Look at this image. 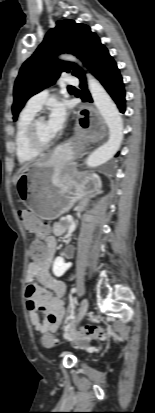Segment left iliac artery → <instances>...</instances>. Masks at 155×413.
Masks as SVG:
<instances>
[{"label": "left iliac artery", "mask_w": 155, "mask_h": 413, "mask_svg": "<svg viewBox=\"0 0 155 413\" xmlns=\"http://www.w3.org/2000/svg\"><path fill=\"white\" fill-rule=\"evenodd\" d=\"M75 292H76V288H72L71 293H75Z\"/></svg>", "instance_id": "left-iliac-artery-1"}]
</instances>
